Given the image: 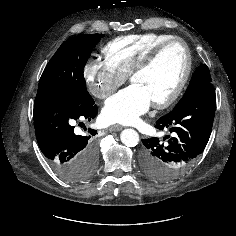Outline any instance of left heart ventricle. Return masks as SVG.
<instances>
[{"label": "left heart ventricle", "mask_w": 236, "mask_h": 236, "mask_svg": "<svg viewBox=\"0 0 236 236\" xmlns=\"http://www.w3.org/2000/svg\"><path fill=\"white\" fill-rule=\"evenodd\" d=\"M185 69V54L182 46L174 43L159 55L153 65L134 76L133 84L142 86L152 102L166 98L181 79Z\"/></svg>", "instance_id": "obj_1"}]
</instances>
